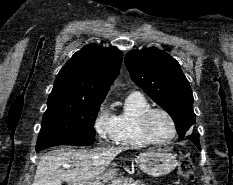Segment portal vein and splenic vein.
Returning <instances> with one entry per match:
<instances>
[{"instance_id": "18ae733b", "label": "portal vein and splenic vein", "mask_w": 233, "mask_h": 185, "mask_svg": "<svg viewBox=\"0 0 233 185\" xmlns=\"http://www.w3.org/2000/svg\"><path fill=\"white\" fill-rule=\"evenodd\" d=\"M70 166L69 165H64V168H69Z\"/></svg>"}]
</instances>
